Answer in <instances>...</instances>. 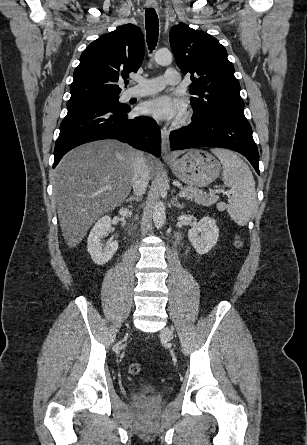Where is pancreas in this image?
Returning <instances> with one entry per match:
<instances>
[{
    "mask_svg": "<svg viewBox=\"0 0 307 445\" xmlns=\"http://www.w3.org/2000/svg\"><path fill=\"white\" fill-rule=\"evenodd\" d=\"M183 192H187L190 200H194L197 204H203V206H211V204H215L219 198L218 194H208V192L200 190L197 186H185Z\"/></svg>",
    "mask_w": 307,
    "mask_h": 445,
    "instance_id": "1",
    "label": "pancreas"
}]
</instances>
